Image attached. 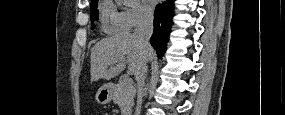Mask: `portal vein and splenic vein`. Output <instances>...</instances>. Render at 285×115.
Instances as JSON below:
<instances>
[{"mask_svg":"<svg viewBox=\"0 0 285 115\" xmlns=\"http://www.w3.org/2000/svg\"><path fill=\"white\" fill-rule=\"evenodd\" d=\"M123 84L124 85H132V80L130 79V78H125L124 80H123Z\"/></svg>","mask_w":285,"mask_h":115,"instance_id":"1","label":"portal vein and splenic vein"}]
</instances>
